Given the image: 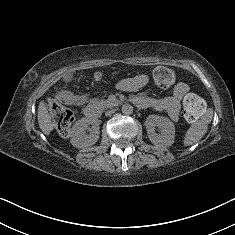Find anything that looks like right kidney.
<instances>
[{
	"mask_svg": "<svg viewBox=\"0 0 235 235\" xmlns=\"http://www.w3.org/2000/svg\"><path fill=\"white\" fill-rule=\"evenodd\" d=\"M95 125L90 128V133L86 134L89 127L87 121L79 120L76 122L72 132L70 142L74 147L83 148L94 145L99 139V121L94 120Z\"/></svg>",
	"mask_w": 235,
	"mask_h": 235,
	"instance_id": "right-kidney-1",
	"label": "right kidney"
}]
</instances>
